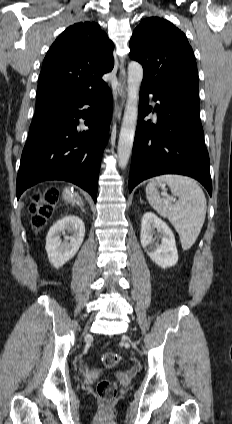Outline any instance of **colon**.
Returning <instances> with one entry per match:
<instances>
[{"instance_id": "5ec220e1", "label": "colon", "mask_w": 232, "mask_h": 424, "mask_svg": "<svg viewBox=\"0 0 232 424\" xmlns=\"http://www.w3.org/2000/svg\"><path fill=\"white\" fill-rule=\"evenodd\" d=\"M57 198L58 193L55 189L32 194L29 208L32 213V225L36 230H41L46 225L52 215ZM102 361L106 368H112L118 362V354L113 351L107 352L103 355ZM96 391L98 397L105 403L112 401L117 396V386L110 380L100 381Z\"/></svg>"}]
</instances>
